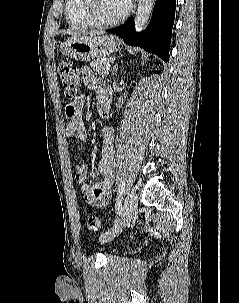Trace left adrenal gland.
<instances>
[{"label": "left adrenal gland", "mask_w": 239, "mask_h": 303, "mask_svg": "<svg viewBox=\"0 0 239 303\" xmlns=\"http://www.w3.org/2000/svg\"><path fill=\"white\" fill-rule=\"evenodd\" d=\"M117 71H118V64H115L113 67L112 75L117 74Z\"/></svg>", "instance_id": "1"}]
</instances>
